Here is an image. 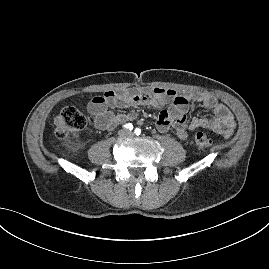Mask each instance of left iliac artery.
<instances>
[{
  "label": "left iliac artery",
  "mask_w": 269,
  "mask_h": 269,
  "mask_svg": "<svg viewBox=\"0 0 269 269\" xmlns=\"http://www.w3.org/2000/svg\"><path fill=\"white\" fill-rule=\"evenodd\" d=\"M134 133L136 135H140L141 134V129L140 128H136L135 131H134Z\"/></svg>",
  "instance_id": "left-iliac-artery-1"
}]
</instances>
